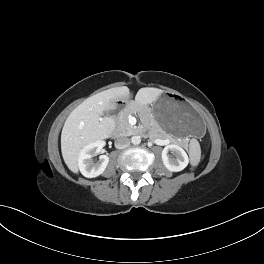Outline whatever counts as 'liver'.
<instances>
[{"label":"liver","instance_id":"obj_1","mask_svg":"<svg viewBox=\"0 0 264 264\" xmlns=\"http://www.w3.org/2000/svg\"><path fill=\"white\" fill-rule=\"evenodd\" d=\"M163 90L142 88L135 96V103L147 105L155 102ZM127 87H116L100 92L83 101L66 119L61 133V152L67 167L78 173V157L81 149L95 141L107 139L115 129L111 117H102L104 111L116 108V101L127 100Z\"/></svg>","mask_w":264,"mask_h":264}]
</instances>
